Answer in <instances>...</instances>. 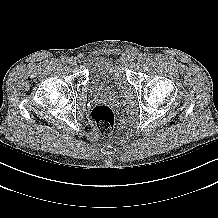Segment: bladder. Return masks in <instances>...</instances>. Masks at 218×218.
<instances>
[{
	"mask_svg": "<svg viewBox=\"0 0 218 218\" xmlns=\"http://www.w3.org/2000/svg\"><path fill=\"white\" fill-rule=\"evenodd\" d=\"M87 69L89 84L97 91L124 92L129 87L125 65L118 57L93 56L87 63Z\"/></svg>",
	"mask_w": 218,
	"mask_h": 218,
	"instance_id": "bladder-1",
	"label": "bladder"
}]
</instances>
